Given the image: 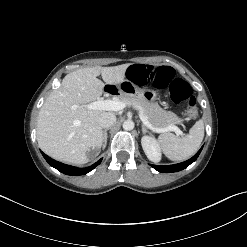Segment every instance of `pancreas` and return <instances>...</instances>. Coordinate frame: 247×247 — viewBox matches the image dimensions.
<instances>
[{
  "mask_svg": "<svg viewBox=\"0 0 247 247\" xmlns=\"http://www.w3.org/2000/svg\"><path fill=\"white\" fill-rule=\"evenodd\" d=\"M118 98L128 106L140 110L156 128H163L182 121L175 113L164 110L158 103H150L139 97H130L122 94Z\"/></svg>",
  "mask_w": 247,
  "mask_h": 247,
  "instance_id": "obj_1",
  "label": "pancreas"
}]
</instances>
